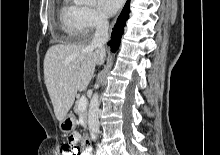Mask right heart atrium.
I'll use <instances>...</instances> for the list:
<instances>
[{
    "instance_id": "right-heart-atrium-1",
    "label": "right heart atrium",
    "mask_w": 220,
    "mask_h": 155,
    "mask_svg": "<svg viewBox=\"0 0 220 155\" xmlns=\"http://www.w3.org/2000/svg\"><path fill=\"white\" fill-rule=\"evenodd\" d=\"M107 23V18L100 11L92 7H83L81 26L84 35L105 28Z\"/></svg>"
}]
</instances>
